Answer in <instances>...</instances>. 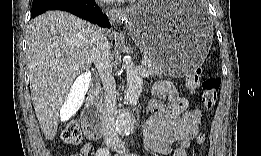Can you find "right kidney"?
Segmentation results:
<instances>
[{
    "mask_svg": "<svg viewBox=\"0 0 261 156\" xmlns=\"http://www.w3.org/2000/svg\"><path fill=\"white\" fill-rule=\"evenodd\" d=\"M80 85V84H79ZM78 85V86H79ZM84 92H85V88H83L82 90H81V92H80V95H79V98L81 99V101H82V98H83V96H84Z\"/></svg>",
    "mask_w": 261,
    "mask_h": 156,
    "instance_id": "obj_1",
    "label": "right kidney"
}]
</instances>
